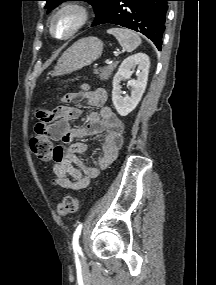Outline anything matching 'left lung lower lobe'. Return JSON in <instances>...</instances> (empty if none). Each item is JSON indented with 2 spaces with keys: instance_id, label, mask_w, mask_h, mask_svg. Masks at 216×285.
Returning a JSON list of instances; mask_svg holds the SVG:
<instances>
[{
  "instance_id": "obj_1",
  "label": "left lung lower lobe",
  "mask_w": 216,
  "mask_h": 285,
  "mask_svg": "<svg viewBox=\"0 0 216 285\" xmlns=\"http://www.w3.org/2000/svg\"><path fill=\"white\" fill-rule=\"evenodd\" d=\"M167 1L170 0H113L104 16L92 26L106 23L121 25L141 32L161 50Z\"/></svg>"
}]
</instances>
